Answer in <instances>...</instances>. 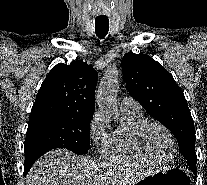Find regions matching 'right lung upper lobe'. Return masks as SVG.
I'll use <instances>...</instances> for the list:
<instances>
[{
	"mask_svg": "<svg viewBox=\"0 0 207 185\" xmlns=\"http://www.w3.org/2000/svg\"><path fill=\"white\" fill-rule=\"evenodd\" d=\"M97 72L81 60L58 64L43 81L31 115H58L91 120Z\"/></svg>",
	"mask_w": 207,
	"mask_h": 185,
	"instance_id": "cb5924a9",
	"label": "right lung upper lobe"
}]
</instances>
